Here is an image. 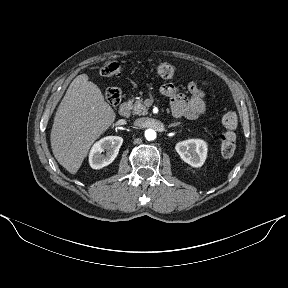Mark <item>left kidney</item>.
Wrapping results in <instances>:
<instances>
[{
	"mask_svg": "<svg viewBox=\"0 0 288 288\" xmlns=\"http://www.w3.org/2000/svg\"><path fill=\"white\" fill-rule=\"evenodd\" d=\"M175 149L181 159L193 167H201L207 156V144L201 139L179 142Z\"/></svg>",
	"mask_w": 288,
	"mask_h": 288,
	"instance_id": "left-kidney-1",
	"label": "left kidney"
}]
</instances>
